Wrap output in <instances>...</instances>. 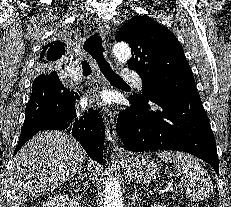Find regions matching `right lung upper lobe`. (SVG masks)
Listing matches in <instances>:
<instances>
[{
    "instance_id": "obj_1",
    "label": "right lung upper lobe",
    "mask_w": 231,
    "mask_h": 207,
    "mask_svg": "<svg viewBox=\"0 0 231 207\" xmlns=\"http://www.w3.org/2000/svg\"><path fill=\"white\" fill-rule=\"evenodd\" d=\"M66 44L56 41L49 43L42 51L40 55L41 63H48L50 61L58 60L62 55L65 54Z\"/></svg>"
}]
</instances>
